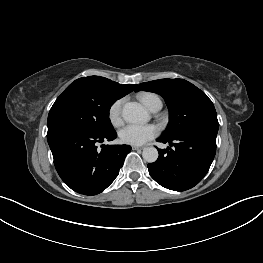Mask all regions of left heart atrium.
Here are the masks:
<instances>
[{
    "label": "left heart atrium",
    "mask_w": 263,
    "mask_h": 263,
    "mask_svg": "<svg viewBox=\"0 0 263 263\" xmlns=\"http://www.w3.org/2000/svg\"><path fill=\"white\" fill-rule=\"evenodd\" d=\"M158 134V129L155 125H138L131 124L120 131V140L129 145H142L153 139Z\"/></svg>",
    "instance_id": "1"
}]
</instances>
